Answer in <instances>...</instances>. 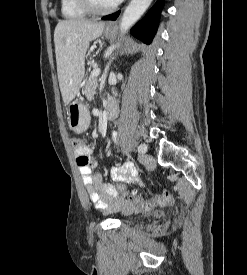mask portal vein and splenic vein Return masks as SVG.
Instances as JSON below:
<instances>
[{
  "label": "portal vein and splenic vein",
  "instance_id": "18ae733b",
  "mask_svg": "<svg viewBox=\"0 0 247 275\" xmlns=\"http://www.w3.org/2000/svg\"><path fill=\"white\" fill-rule=\"evenodd\" d=\"M100 69H94L93 72H92V75L94 76H98L100 74Z\"/></svg>",
  "mask_w": 247,
  "mask_h": 275
}]
</instances>
